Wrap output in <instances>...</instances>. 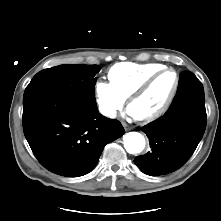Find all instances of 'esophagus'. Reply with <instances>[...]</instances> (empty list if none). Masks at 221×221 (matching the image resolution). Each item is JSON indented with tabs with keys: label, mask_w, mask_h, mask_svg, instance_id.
Segmentation results:
<instances>
[{
	"label": "esophagus",
	"mask_w": 221,
	"mask_h": 221,
	"mask_svg": "<svg viewBox=\"0 0 221 221\" xmlns=\"http://www.w3.org/2000/svg\"><path fill=\"white\" fill-rule=\"evenodd\" d=\"M122 126L124 127V129H125L126 131L130 130V127H129V125H128L127 123L122 122Z\"/></svg>",
	"instance_id": "1"
}]
</instances>
